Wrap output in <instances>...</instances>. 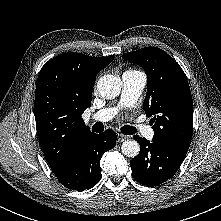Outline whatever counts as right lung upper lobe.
I'll return each instance as SVG.
<instances>
[{
    "label": "right lung upper lobe",
    "instance_id": "cb5924a9",
    "mask_svg": "<svg viewBox=\"0 0 221 221\" xmlns=\"http://www.w3.org/2000/svg\"><path fill=\"white\" fill-rule=\"evenodd\" d=\"M113 58L64 53L40 70L34 113L39 141L53 172L67 164L90 132L81 116L91 104L97 73Z\"/></svg>",
    "mask_w": 221,
    "mask_h": 221
}]
</instances>
